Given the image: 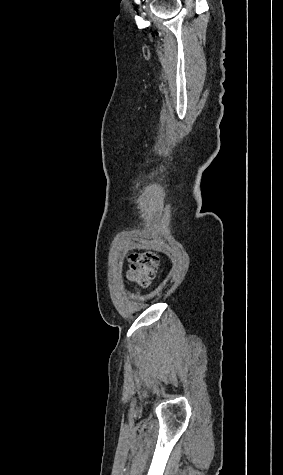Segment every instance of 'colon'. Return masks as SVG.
Listing matches in <instances>:
<instances>
[{"label":"colon","mask_w":283,"mask_h":475,"mask_svg":"<svg viewBox=\"0 0 283 475\" xmlns=\"http://www.w3.org/2000/svg\"><path fill=\"white\" fill-rule=\"evenodd\" d=\"M131 268L126 273L130 284L138 288L146 287L155 274L158 256L153 250H144L130 256Z\"/></svg>","instance_id":"obj_1"}]
</instances>
